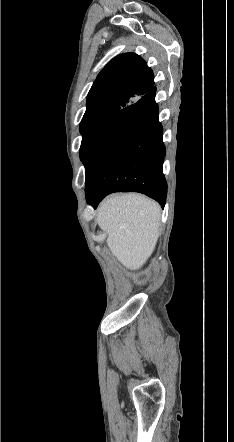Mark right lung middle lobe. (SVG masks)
Returning a JSON list of instances; mask_svg holds the SVG:
<instances>
[{
	"label": "right lung middle lobe",
	"mask_w": 234,
	"mask_h": 442,
	"mask_svg": "<svg viewBox=\"0 0 234 442\" xmlns=\"http://www.w3.org/2000/svg\"><path fill=\"white\" fill-rule=\"evenodd\" d=\"M116 115V112H110L82 119L80 123V132L82 134L80 158L83 162Z\"/></svg>",
	"instance_id": "dd1d6c3e"
}]
</instances>
